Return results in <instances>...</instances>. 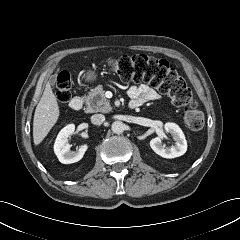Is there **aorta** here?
Returning <instances> with one entry per match:
<instances>
[{"mask_svg":"<svg viewBox=\"0 0 240 240\" xmlns=\"http://www.w3.org/2000/svg\"><path fill=\"white\" fill-rule=\"evenodd\" d=\"M112 132L115 134H121L125 130V124L121 121H115L111 126Z\"/></svg>","mask_w":240,"mask_h":240,"instance_id":"762f6f07","label":"aorta"}]
</instances>
